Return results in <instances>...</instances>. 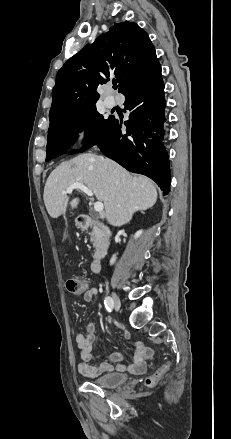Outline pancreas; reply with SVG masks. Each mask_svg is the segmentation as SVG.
<instances>
[{"instance_id":"pancreas-1","label":"pancreas","mask_w":231,"mask_h":439,"mask_svg":"<svg viewBox=\"0 0 231 439\" xmlns=\"http://www.w3.org/2000/svg\"><path fill=\"white\" fill-rule=\"evenodd\" d=\"M90 240L95 248L100 247L103 241V233L101 230L94 228L90 234Z\"/></svg>"}]
</instances>
